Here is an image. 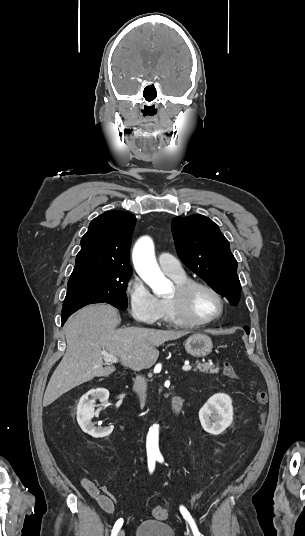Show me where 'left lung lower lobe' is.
Wrapping results in <instances>:
<instances>
[{"label": "left lung lower lobe", "mask_w": 305, "mask_h": 536, "mask_svg": "<svg viewBox=\"0 0 305 536\" xmlns=\"http://www.w3.org/2000/svg\"><path fill=\"white\" fill-rule=\"evenodd\" d=\"M244 329L247 333H249V328L247 326H245Z\"/></svg>", "instance_id": "0a47b994"}]
</instances>
